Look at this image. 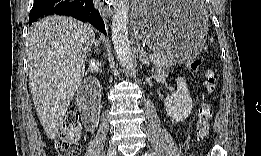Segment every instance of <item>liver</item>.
Segmentation results:
<instances>
[{"mask_svg":"<svg viewBox=\"0 0 261 156\" xmlns=\"http://www.w3.org/2000/svg\"><path fill=\"white\" fill-rule=\"evenodd\" d=\"M93 27L72 17L48 16L34 23L27 40L29 87L47 137L55 139L80 85Z\"/></svg>","mask_w":261,"mask_h":156,"instance_id":"1","label":"liver"}]
</instances>
